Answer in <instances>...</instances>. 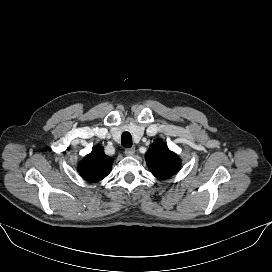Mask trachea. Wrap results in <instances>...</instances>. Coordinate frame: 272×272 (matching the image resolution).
Here are the masks:
<instances>
[{"mask_svg": "<svg viewBox=\"0 0 272 272\" xmlns=\"http://www.w3.org/2000/svg\"><path fill=\"white\" fill-rule=\"evenodd\" d=\"M121 144L126 148H130L132 146V136L129 132H123L121 136Z\"/></svg>", "mask_w": 272, "mask_h": 272, "instance_id": "trachea-1", "label": "trachea"}]
</instances>
